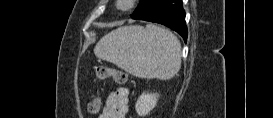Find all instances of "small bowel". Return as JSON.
<instances>
[{"instance_id": "obj_1", "label": "small bowel", "mask_w": 273, "mask_h": 118, "mask_svg": "<svg viewBox=\"0 0 273 118\" xmlns=\"http://www.w3.org/2000/svg\"><path fill=\"white\" fill-rule=\"evenodd\" d=\"M128 109L129 91L121 87L108 94L101 118H126Z\"/></svg>"}]
</instances>
